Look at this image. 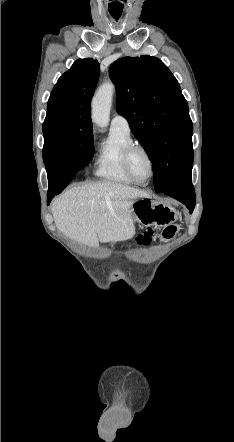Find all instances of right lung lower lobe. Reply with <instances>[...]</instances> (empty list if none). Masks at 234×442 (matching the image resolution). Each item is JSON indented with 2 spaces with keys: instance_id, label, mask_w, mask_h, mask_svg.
Segmentation results:
<instances>
[{
  "instance_id": "1",
  "label": "right lung lower lobe",
  "mask_w": 234,
  "mask_h": 442,
  "mask_svg": "<svg viewBox=\"0 0 234 442\" xmlns=\"http://www.w3.org/2000/svg\"><path fill=\"white\" fill-rule=\"evenodd\" d=\"M48 174L49 189L47 194V204L51 202L55 195H58L72 180L79 171L69 158H65L46 166Z\"/></svg>"
}]
</instances>
